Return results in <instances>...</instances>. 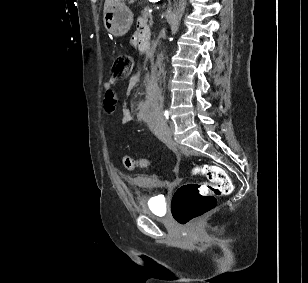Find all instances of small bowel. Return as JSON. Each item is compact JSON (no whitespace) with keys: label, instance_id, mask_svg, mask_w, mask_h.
I'll use <instances>...</instances> for the list:
<instances>
[{"label":"small bowel","instance_id":"small-bowel-1","mask_svg":"<svg viewBox=\"0 0 308 283\" xmlns=\"http://www.w3.org/2000/svg\"><path fill=\"white\" fill-rule=\"evenodd\" d=\"M144 30H148L147 26L142 19H139L137 23V32L132 37V42L134 45H139V36ZM138 81H139V76L134 75L130 79V84L135 85ZM104 93H105L104 95L105 112L108 115H113L117 107L118 95L115 92L113 88V84L111 82L104 83ZM148 112H149V104L147 102L145 101L139 102L136 105V114L139 119H146V117L148 116ZM132 119L133 117L128 107V104L124 101L123 102V117L121 120L122 124L124 125L128 124L129 122L132 121Z\"/></svg>","mask_w":308,"mask_h":283}]
</instances>
